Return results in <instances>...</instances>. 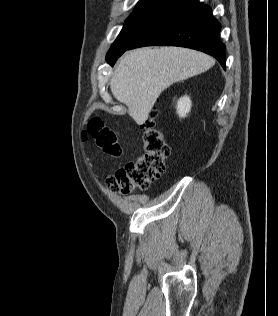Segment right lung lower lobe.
<instances>
[{
	"label": "right lung lower lobe",
	"instance_id": "right-lung-lower-lobe-1",
	"mask_svg": "<svg viewBox=\"0 0 278 316\" xmlns=\"http://www.w3.org/2000/svg\"><path fill=\"white\" fill-rule=\"evenodd\" d=\"M220 23L212 10L198 0H170L156 20L126 50L173 45L196 49L214 56L225 69V45L219 39ZM125 50V51H126ZM125 51L107 60L110 65Z\"/></svg>",
	"mask_w": 278,
	"mask_h": 316
}]
</instances>
